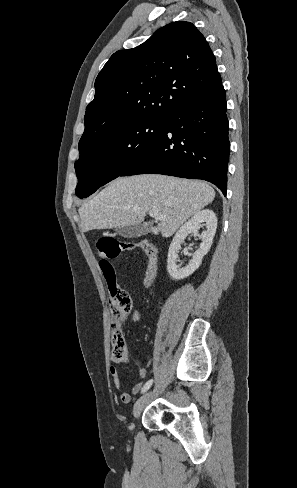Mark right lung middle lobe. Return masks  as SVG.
<instances>
[{
	"mask_svg": "<svg viewBox=\"0 0 297 488\" xmlns=\"http://www.w3.org/2000/svg\"><path fill=\"white\" fill-rule=\"evenodd\" d=\"M167 119H143L122 126L92 141H80L75 162L78 184L75 193L85 198L120 176L160 136Z\"/></svg>",
	"mask_w": 297,
	"mask_h": 488,
	"instance_id": "1",
	"label": "right lung middle lobe"
}]
</instances>
